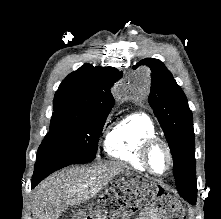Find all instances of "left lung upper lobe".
<instances>
[{"instance_id":"5c2ea615","label":"left lung upper lobe","mask_w":221,"mask_h":219,"mask_svg":"<svg viewBox=\"0 0 221 219\" xmlns=\"http://www.w3.org/2000/svg\"><path fill=\"white\" fill-rule=\"evenodd\" d=\"M146 64L152 74L149 104L165 133L173 156V174L178 193L194 204L197 198L195 136L192 112L186 96L177 85L164 64L153 58H147L136 64Z\"/></svg>"}]
</instances>
